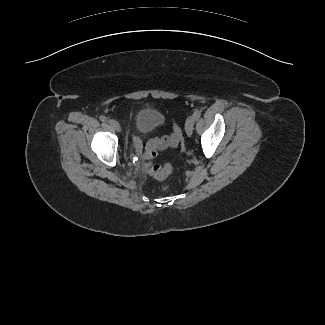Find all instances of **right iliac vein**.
Masks as SVG:
<instances>
[{"label":"right iliac vein","instance_id":"1","mask_svg":"<svg viewBox=\"0 0 325 325\" xmlns=\"http://www.w3.org/2000/svg\"><path fill=\"white\" fill-rule=\"evenodd\" d=\"M108 123L109 125L114 129L116 130L117 132H120L121 131V127H120V124L114 120V119H109L108 120Z\"/></svg>","mask_w":325,"mask_h":325}]
</instances>
